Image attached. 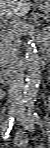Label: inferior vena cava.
I'll list each match as a JSON object with an SVG mask.
<instances>
[{
    "instance_id": "inferior-vena-cava-1",
    "label": "inferior vena cava",
    "mask_w": 50,
    "mask_h": 148,
    "mask_svg": "<svg viewBox=\"0 0 50 148\" xmlns=\"http://www.w3.org/2000/svg\"><path fill=\"white\" fill-rule=\"evenodd\" d=\"M20 16L10 17L8 29L5 33L6 53L14 62V72L9 89V98L18 101L22 98V89L24 82V68L18 60L19 53V30Z\"/></svg>"
}]
</instances>
